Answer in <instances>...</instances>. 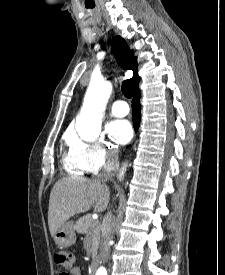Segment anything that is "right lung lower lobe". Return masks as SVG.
Segmentation results:
<instances>
[{
  "mask_svg": "<svg viewBox=\"0 0 225 275\" xmlns=\"http://www.w3.org/2000/svg\"><path fill=\"white\" fill-rule=\"evenodd\" d=\"M132 115L133 125L135 131L139 128L140 123V91L139 86L133 90V101H132Z\"/></svg>",
  "mask_w": 225,
  "mask_h": 275,
  "instance_id": "98d812e1",
  "label": "right lung lower lobe"
}]
</instances>
